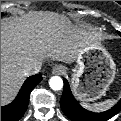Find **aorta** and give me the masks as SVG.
<instances>
[{
	"instance_id": "762f6f07",
	"label": "aorta",
	"mask_w": 121,
	"mask_h": 121,
	"mask_svg": "<svg viewBox=\"0 0 121 121\" xmlns=\"http://www.w3.org/2000/svg\"><path fill=\"white\" fill-rule=\"evenodd\" d=\"M52 90L60 91L63 88V80L60 77H52L49 81Z\"/></svg>"
}]
</instances>
